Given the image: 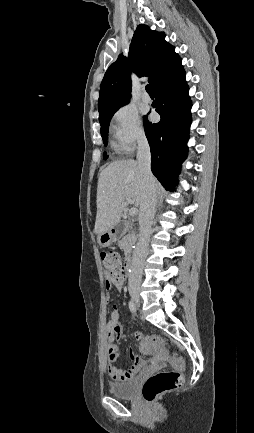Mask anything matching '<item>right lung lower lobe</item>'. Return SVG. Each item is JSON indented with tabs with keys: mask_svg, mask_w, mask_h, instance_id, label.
Masks as SVG:
<instances>
[{
	"mask_svg": "<svg viewBox=\"0 0 254 433\" xmlns=\"http://www.w3.org/2000/svg\"><path fill=\"white\" fill-rule=\"evenodd\" d=\"M181 60L154 88L153 108L161 116L158 123L144 117V129L151 149V170L167 190H174L180 165L187 155L191 124V101Z\"/></svg>",
	"mask_w": 254,
	"mask_h": 433,
	"instance_id": "obj_1",
	"label": "right lung lower lobe"
}]
</instances>
